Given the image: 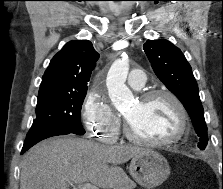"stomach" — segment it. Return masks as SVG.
Listing matches in <instances>:
<instances>
[{"label":"stomach","mask_w":223,"mask_h":189,"mask_svg":"<svg viewBox=\"0 0 223 189\" xmlns=\"http://www.w3.org/2000/svg\"><path fill=\"white\" fill-rule=\"evenodd\" d=\"M129 172L138 184L152 189L168 178L170 167L161 154L146 150L132 158Z\"/></svg>","instance_id":"obj_1"}]
</instances>
